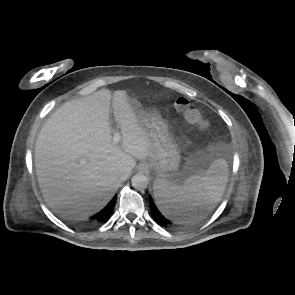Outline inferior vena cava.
Here are the masks:
<instances>
[{"instance_id": "602c4592", "label": "inferior vena cava", "mask_w": 295, "mask_h": 295, "mask_svg": "<svg viewBox=\"0 0 295 295\" xmlns=\"http://www.w3.org/2000/svg\"><path fill=\"white\" fill-rule=\"evenodd\" d=\"M126 178H127L126 175H122V176H121V179H122V180H125Z\"/></svg>"}]
</instances>
